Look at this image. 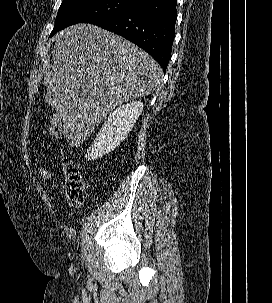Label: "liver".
<instances>
[{
  "label": "liver",
  "instance_id": "1",
  "mask_svg": "<svg viewBox=\"0 0 272 303\" xmlns=\"http://www.w3.org/2000/svg\"><path fill=\"white\" fill-rule=\"evenodd\" d=\"M45 101L55 108L67 142L80 146L118 105L155 91L159 64L130 41L92 24L54 36Z\"/></svg>",
  "mask_w": 272,
  "mask_h": 303
}]
</instances>
